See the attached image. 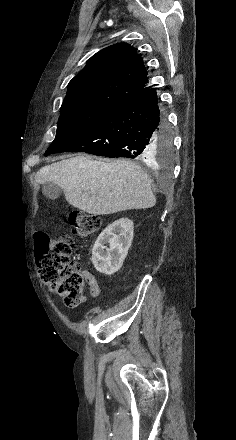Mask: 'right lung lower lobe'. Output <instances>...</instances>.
<instances>
[{
    "mask_svg": "<svg viewBox=\"0 0 236 440\" xmlns=\"http://www.w3.org/2000/svg\"><path fill=\"white\" fill-rule=\"evenodd\" d=\"M167 130L156 88H149L116 106L87 130L46 155L80 151L110 158L150 161L156 139Z\"/></svg>",
    "mask_w": 236,
    "mask_h": 440,
    "instance_id": "1",
    "label": "right lung lower lobe"
}]
</instances>
